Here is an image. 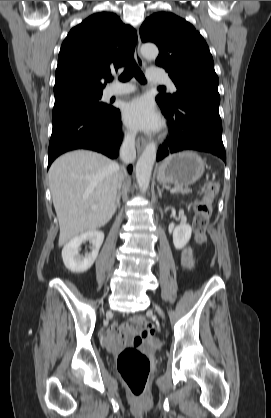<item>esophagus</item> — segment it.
Segmentation results:
<instances>
[{"instance_id": "obj_1", "label": "esophagus", "mask_w": 271, "mask_h": 418, "mask_svg": "<svg viewBox=\"0 0 271 418\" xmlns=\"http://www.w3.org/2000/svg\"><path fill=\"white\" fill-rule=\"evenodd\" d=\"M140 45H141V40H140L139 34H137V41H136V44H135L134 57H135V60H136V63L138 64V66L143 67L145 65V62H144V59H143V57L141 56V53H140ZM146 143H147V141L144 137L140 136V137L137 138V150H138V152L143 150V148L146 146Z\"/></svg>"}]
</instances>
